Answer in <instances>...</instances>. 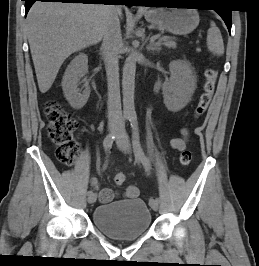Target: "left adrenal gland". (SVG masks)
<instances>
[{
  "label": "left adrenal gland",
  "instance_id": "a2214340",
  "mask_svg": "<svg viewBox=\"0 0 259 266\" xmlns=\"http://www.w3.org/2000/svg\"><path fill=\"white\" fill-rule=\"evenodd\" d=\"M146 49H147L148 51H152V52H154V51L159 52L161 48H160V44H159V43L154 44L153 42H150V43L146 46Z\"/></svg>",
  "mask_w": 259,
  "mask_h": 266
}]
</instances>
